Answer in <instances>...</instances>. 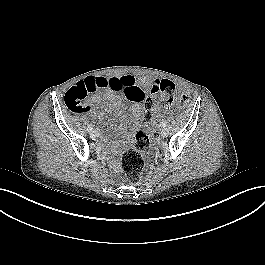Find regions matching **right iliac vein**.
<instances>
[{"mask_svg": "<svg viewBox=\"0 0 265 265\" xmlns=\"http://www.w3.org/2000/svg\"><path fill=\"white\" fill-rule=\"evenodd\" d=\"M98 136H99V134H98L97 131H93V132L90 133V137H91L92 139H96Z\"/></svg>", "mask_w": 265, "mask_h": 265, "instance_id": "63e3f726", "label": "right iliac vein"}]
</instances>
